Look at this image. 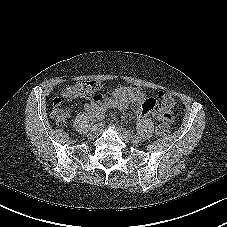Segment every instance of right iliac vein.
Instances as JSON below:
<instances>
[{
    "mask_svg": "<svg viewBox=\"0 0 227 227\" xmlns=\"http://www.w3.org/2000/svg\"><path fill=\"white\" fill-rule=\"evenodd\" d=\"M98 132H99V127L98 126L95 127V126L91 125L89 127L88 137L95 138L98 135Z\"/></svg>",
    "mask_w": 227,
    "mask_h": 227,
    "instance_id": "obj_1",
    "label": "right iliac vein"
}]
</instances>
